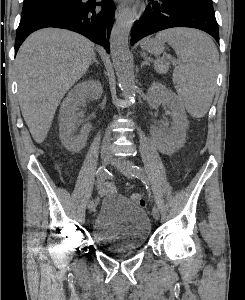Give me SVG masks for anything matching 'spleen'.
Listing matches in <instances>:
<instances>
[{"instance_id": "obj_1", "label": "spleen", "mask_w": 245, "mask_h": 300, "mask_svg": "<svg viewBox=\"0 0 245 300\" xmlns=\"http://www.w3.org/2000/svg\"><path fill=\"white\" fill-rule=\"evenodd\" d=\"M156 38L166 41L182 63L173 71L179 100L191 116L203 117L214 95L213 85L219 61L216 46L207 35L193 29H168L159 32ZM154 68L164 74L168 64L163 58L157 59Z\"/></svg>"}]
</instances>
